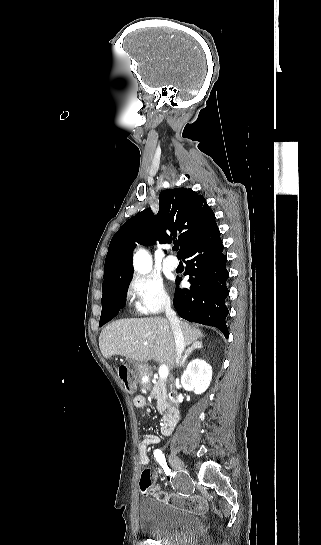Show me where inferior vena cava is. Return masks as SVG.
I'll list each match as a JSON object with an SVG mask.
<instances>
[{
	"instance_id": "1",
	"label": "inferior vena cava",
	"mask_w": 321,
	"mask_h": 545,
	"mask_svg": "<svg viewBox=\"0 0 321 545\" xmlns=\"http://www.w3.org/2000/svg\"><path fill=\"white\" fill-rule=\"evenodd\" d=\"M165 315L170 323V327L173 331L174 339H175V345H176V363H179V359H181V355L185 349V341L184 337L182 335V331L180 329V321L178 317H176L175 311L171 309V303L170 301H167L165 305Z\"/></svg>"
}]
</instances>
